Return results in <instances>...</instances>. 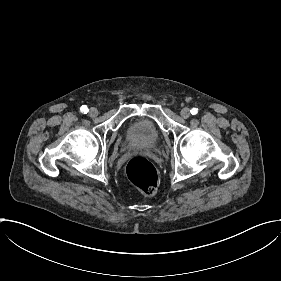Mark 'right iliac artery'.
I'll return each mask as SVG.
<instances>
[{"mask_svg":"<svg viewBox=\"0 0 281 281\" xmlns=\"http://www.w3.org/2000/svg\"><path fill=\"white\" fill-rule=\"evenodd\" d=\"M80 111L83 112L84 114H86L89 110L86 105H82L80 108Z\"/></svg>","mask_w":281,"mask_h":281,"instance_id":"right-iliac-artery-1","label":"right iliac artery"}]
</instances>
